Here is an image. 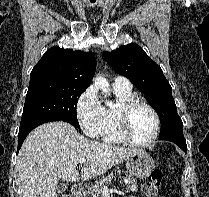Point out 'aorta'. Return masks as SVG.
Here are the masks:
<instances>
[{"mask_svg": "<svg viewBox=\"0 0 209 197\" xmlns=\"http://www.w3.org/2000/svg\"><path fill=\"white\" fill-rule=\"evenodd\" d=\"M94 83L100 90L105 93L109 94V82L103 76H97L94 80Z\"/></svg>", "mask_w": 209, "mask_h": 197, "instance_id": "obj_1", "label": "aorta"}]
</instances>
